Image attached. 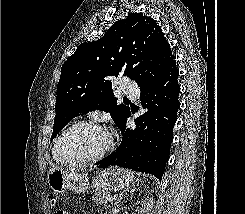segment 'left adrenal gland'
<instances>
[{
  "instance_id": "left-adrenal-gland-1",
  "label": "left adrenal gland",
  "mask_w": 245,
  "mask_h": 214,
  "mask_svg": "<svg viewBox=\"0 0 245 214\" xmlns=\"http://www.w3.org/2000/svg\"><path fill=\"white\" fill-rule=\"evenodd\" d=\"M127 191H129L128 188L119 194V197L116 199L115 204H118L122 200L124 193H126Z\"/></svg>"
}]
</instances>
